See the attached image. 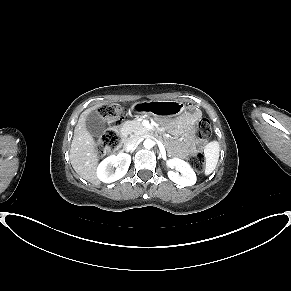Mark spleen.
Segmentation results:
<instances>
[{
    "mask_svg": "<svg viewBox=\"0 0 291 291\" xmlns=\"http://www.w3.org/2000/svg\"><path fill=\"white\" fill-rule=\"evenodd\" d=\"M220 146L217 141H212L208 143L204 149L206 165L205 174L209 175L215 169L218 159H219Z\"/></svg>",
    "mask_w": 291,
    "mask_h": 291,
    "instance_id": "spleen-1",
    "label": "spleen"
}]
</instances>
